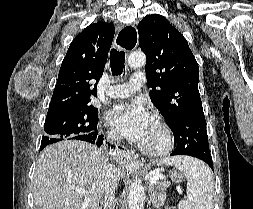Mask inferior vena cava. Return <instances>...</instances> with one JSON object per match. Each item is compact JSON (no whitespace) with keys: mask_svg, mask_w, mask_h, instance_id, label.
Masks as SVG:
<instances>
[{"mask_svg":"<svg viewBox=\"0 0 253 209\" xmlns=\"http://www.w3.org/2000/svg\"><path fill=\"white\" fill-rule=\"evenodd\" d=\"M109 138L117 142L120 141V136L114 131H111L109 133ZM115 172L116 170L115 169L113 170L111 165L107 166L106 175H105V191H106V196H107V199L109 200V203L114 201V197H115L114 192L117 186L118 177H120V174L118 173V176H116Z\"/></svg>","mask_w":253,"mask_h":209,"instance_id":"inferior-vena-cava-1","label":"inferior vena cava"}]
</instances>
